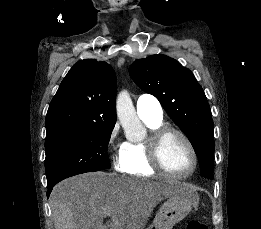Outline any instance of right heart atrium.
I'll return each mask as SVG.
<instances>
[{"label":"right heart atrium","instance_id":"obj_1","mask_svg":"<svg viewBox=\"0 0 261 229\" xmlns=\"http://www.w3.org/2000/svg\"><path fill=\"white\" fill-rule=\"evenodd\" d=\"M118 126L115 125L109 135L108 147L110 150V158L115 170L123 171L125 169L124 143L117 141Z\"/></svg>","mask_w":261,"mask_h":229}]
</instances>
